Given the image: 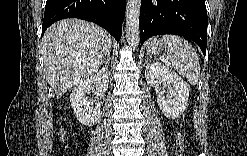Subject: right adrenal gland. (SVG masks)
<instances>
[{"label":"right adrenal gland","instance_id":"obj_1","mask_svg":"<svg viewBox=\"0 0 247 156\" xmlns=\"http://www.w3.org/2000/svg\"><path fill=\"white\" fill-rule=\"evenodd\" d=\"M111 60L110 54L108 53L106 59L103 60L102 64H105L106 66L109 64Z\"/></svg>","mask_w":247,"mask_h":156}]
</instances>
